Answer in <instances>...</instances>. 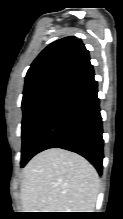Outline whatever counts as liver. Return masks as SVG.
<instances>
[{
    "instance_id": "1",
    "label": "liver",
    "mask_w": 123,
    "mask_h": 219,
    "mask_svg": "<svg viewBox=\"0 0 123 219\" xmlns=\"http://www.w3.org/2000/svg\"><path fill=\"white\" fill-rule=\"evenodd\" d=\"M99 176L82 156L60 148L34 156L23 170L24 212H93Z\"/></svg>"
}]
</instances>
